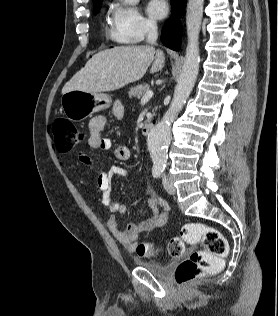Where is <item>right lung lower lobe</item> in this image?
I'll list each match as a JSON object with an SVG mask.
<instances>
[{
  "mask_svg": "<svg viewBox=\"0 0 278 316\" xmlns=\"http://www.w3.org/2000/svg\"><path fill=\"white\" fill-rule=\"evenodd\" d=\"M184 3L185 0H171L172 15L161 33L163 44L173 50L180 49L182 27L177 16L182 13Z\"/></svg>",
  "mask_w": 278,
  "mask_h": 316,
  "instance_id": "98d812e1",
  "label": "right lung lower lobe"
}]
</instances>
